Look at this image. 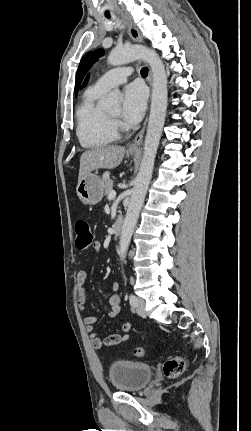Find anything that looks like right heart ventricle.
<instances>
[{
	"instance_id": "obj_1",
	"label": "right heart ventricle",
	"mask_w": 251,
	"mask_h": 431,
	"mask_svg": "<svg viewBox=\"0 0 251 431\" xmlns=\"http://www.w3.org/2000/svg\"><path fill=\"white\" fill-rule=\"evenodd\" d=\"M104 93L94 86L83 94L76 110V133L83 147L106 146L118 138V133L109 121L107 113L99 106L98 99Z\"/></svg>"
}]
</instances>
